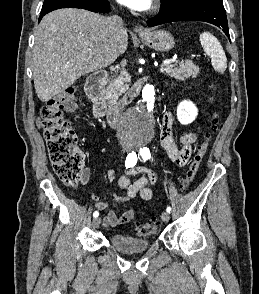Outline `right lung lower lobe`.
<instances>
[{"mask_svg":"<svg viewBox=\"0 0 259 294\" xmlns=\"http://www.w3.org/2000/svg\"><path fill=\"white\" fill-rule=\"evenodd\" d=\"M109 2L108 0H93L85 3H77V2H68V1H63V2H58L54 5H52L50 8H48L45 11H41L40 16H39V21L42 19L44 15L47 13L60 9V8H82L86 10H90L93 12H106L110 11L109 10Z\"/></svg>","mask_w":259,"mask_h":294,"instance_id":"obj_1","label":"right lung lower lobe"}]
</instances>
